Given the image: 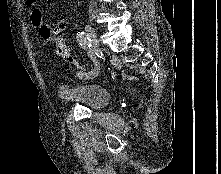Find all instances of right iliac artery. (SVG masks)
<instances>
[{
    "instance_id": "82829eb1",
    "label": "right iliac artery",
    "mask_w": 221,
    "mask_h": 174,
    "mask_svg": "<svg viewBox=\"0 0 221 174\" xmlns=\"http://www.w3.org/2000/svg\"><path fill=\"white\" fill-rule=\"evenodd\" d=\"M77 41L79 42V44L81 45V47L88 51V55L90 56V58L93 61L94 67L91 70H81L77 73V77L79 79H93L96 78L99 75L100 72V64L98 62V60L96 59V57L94 56L93 52H91L90 47H91V40L90 38L85 35L84 32H78L77 33Z\"/></svg>"
}]
</instances>
